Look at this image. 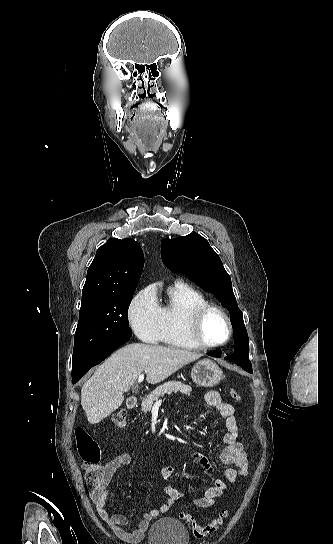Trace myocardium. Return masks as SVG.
Masks as SVG:
<instances>
[{"instance_id":"f54148a6","label":"myocardium","mask_w":333,"mask_h":544,"mask_svg":"<svg viewBox=\"0 0 333 544\" xmlns=\"http://www.w3.org/2000/svg\"><path fill=\"white\" fill-rule=\"evenodd\" d=\"M211 311L219 312L224 317L228 327L227 338L219 343H209L203 336L204 320ZM189 332L193 341L201 348H218L226 345L231 340L233 336V324L229 314L221 305L213 302H206L193 310L189 319Z\"/></svg>"}]
</instances>
